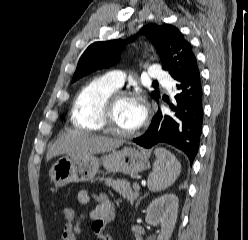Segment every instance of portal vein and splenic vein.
I'll use <instances>...</instances> for the list:
<instances>
[{"instance_id": "obj_1", "label": "portal vein and splenic vein", "mask_w": 248, "mask_h": 240, "mask_svg": "<svg viewBox=\"0 0 248 240\" xmlns=\"http://www.w3.org/2000/svg\"><path fill=\"white\" fill-rule=\"evenodd\" d=\"M133 186L136 188V189H140V186L138 183H134Z\"/></svg>"}]
</instances>
